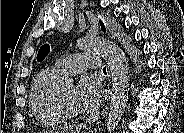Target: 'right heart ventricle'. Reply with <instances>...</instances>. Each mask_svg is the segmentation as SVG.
Wrapping results in <instances>:
<instances>
[{
  "mask_svg": "<svg viewBox=\"0 0 184 133\" xmlns=\"http://www.w3.org/2000/svg\"><path fill=\"white\" fill-rule=\"evenodd\" d=\"M62 78L56 67L47 68L39 73L32 85L30 106L35 117L45 125L55 126L64 120L56 102Z\"/></svg>",
  "mask_w": 184,
  "mask_h": 133,
  "instance_id": "obj_1",
  "label": "right heart ventricle"
}]
</instances>
